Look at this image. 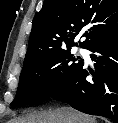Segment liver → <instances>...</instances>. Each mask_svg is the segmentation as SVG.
<instances>
[{
  "label": "liver",
  "mask_w": 118,
  "mask_h": 123,
  "mask_svg": "<svg viewBox=\"0 0 118 123\" xmlns=\"http://www.w3.org/2000/svg\"><path fill=\"white\" fill-rule=\"evenodd\" d=\"M8 123H96V120L71 107H61L30 112L23 117L11 119Z\"/></svg>",
  "instance_id": "6515ba94"
}]
</instances>
